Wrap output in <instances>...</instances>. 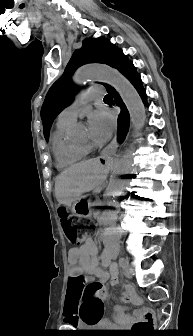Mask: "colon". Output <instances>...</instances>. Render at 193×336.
<instances>
[{
	"mask_svg": "<svg viewBox=\"0 0 193 336\" xmlns=\"http://www.w3.org/2000/svg\"><path fill=\"white\" fill-rule=\"evenodd\" d=\"M60 219L63 231L66 238L71 243L80 242L81 229L78 226L76 219L69 215L65 210L60 211ZM85 227L89 226L88 222L83 223ZM79 292L84 299L80 306V312L83 321L89 324H94L100 318L101 310L94 307L93 304L98 302V296L103 292V287L100 282H86L81 279L79 282ZM141 319L137 321L130 330L131 336H144L154 327L155 315L152 309L142 306Z\"/></svg>",
	"mask_w": 193,
	"mask_h": 336,
	"instance_id": "1",
	"label": "colon"
}]
</instances>
